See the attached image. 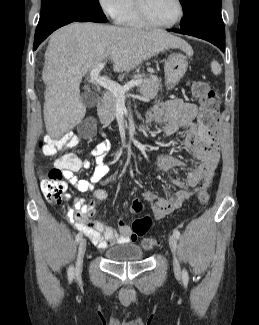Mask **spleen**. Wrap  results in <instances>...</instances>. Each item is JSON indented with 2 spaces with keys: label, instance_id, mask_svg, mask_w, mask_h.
Returning <instances> with one entry per match:
<instances>
[{
  "label": "spleen",
  "instance_id": "1",
  "mask_svg": "<svg viewBox=\"0 0 259 325\" xmlns=\"http://www.w3.org/2000/svg\"><path fill=\"white\" fill-rule=\"evenodd\" d=\"M211 71L213 72V74L219 75L222 72V67L217 61H213L211 63Z\"/></svg>",
  "mask_w": 259,
  "mask_h": 325
}]
</instances>
